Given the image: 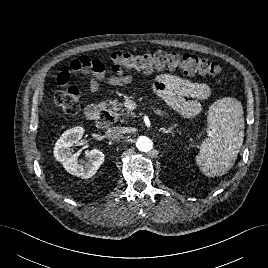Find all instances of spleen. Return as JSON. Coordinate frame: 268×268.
<instances>
[{
    "label": "spleen",
    "mask_w": 268,
    "mask_h": 268,
    "mask_svg": "<svg viewBox=\"0 0 268 268\" xmlns=\"http://www.w3.org/2000/svg\"><path fill=\"white\" fill-rule=\"evenodd\" d=\"M209 137L196 157L200 170L208 177L224 175L234 165L244 138V116L240 101L225 97L208 111Z\"/></svg>",
    "instance_id": "1"
}]
</instances>
